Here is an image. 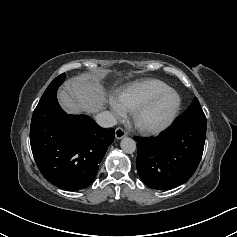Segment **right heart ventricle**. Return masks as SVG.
I'll use <instances>...</instances> for the list:
<instances>
[{
  "mask_svg": "<svg viewBox=\"0 0 237 237\" xmlns=\"http://www.w3.org/2000/svg\"><path fill=\"white\" fill-rule=\"evenodd\" d=\"M169 89V86L158 79H143L133 82L117 93L115 99L128 111L138 106L147 98Z\"/></svg>",
  "mask_w": 237,
  "mask_h": 237,
  "instance_id": "obj_1",
  "label": "right heart ventricle"
}]
</instances>
